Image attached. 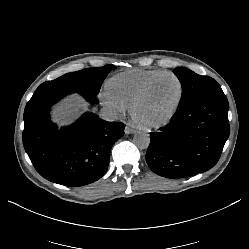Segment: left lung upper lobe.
I'll return each instance as SVG.
<instances>
[{
    "instance_id": "5c2ea615",
    "label": "left lung upper lobe",
    "mask_w": 249,
    "mask_h": 249,
    "mask_svg": "<svg viewBox=\"0 0 249 249\" xmlns=\"http://www.w3.org/2000/svg\"><path fill=\"white\" fill-rule=\"evenodd\" d=\"M173 72L182 83V98L179 107L201 96L223 93L220 85L209 76L198 75L184 67L175 68Z\"/></svg>"
}]
</instances>
